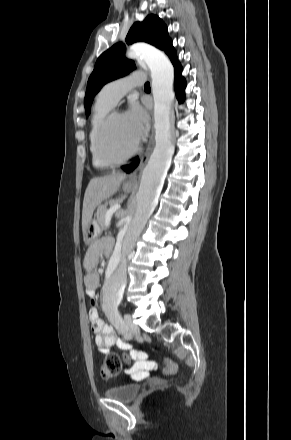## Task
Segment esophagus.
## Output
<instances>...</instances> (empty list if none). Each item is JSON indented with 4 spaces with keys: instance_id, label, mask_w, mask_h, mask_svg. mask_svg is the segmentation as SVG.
Listing matches in <instances>:
<instances>
[{
    "instance_id": "esophagus-1",
    "label": "esophagus",
    "mask_w": 291,
    "mask_h": 440,
    "mask_svg": "<svg viewBox=\"0 0 291 440\" xmlns=\"http://www.w3.org/2000/svg\"><path fill=\"white\" fill-rule=\"evenodd\" d=\"M153 147H154V129H152V132H151V135H150L148 145H147L145 152L143 154H141V156H140L139 167L133 174L130 175L128 182H130L134 185L137 184L138 173L143 168V166L147 163Z\"/></svg>"
}]
</instances>
